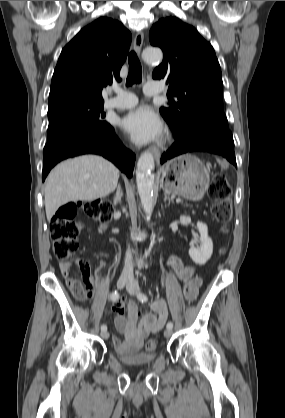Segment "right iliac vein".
Segmentation results:
<instances>
[{"label": "right iliac vein", "instance_id": "obj_1", "mask_svg": "<svg viewBox=\"0 0 285 418\" xmlns=\"http://www.w3.org/2000/svg\"><path fill=\"white\" fill-rule=\"evenodd\" d=\"M128 280H129V277L127 275H121L117 281V287L119 289H122L125 286V284L128 282ZM101 337L103 339H108L109 332L107 330L101 331Z\"/></svg>", "mask_w": 285, "mask_h": 418}]
</instances>
